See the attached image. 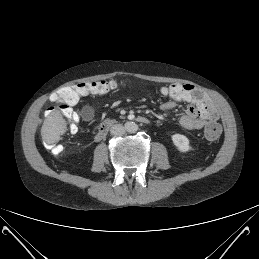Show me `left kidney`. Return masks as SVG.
I'll return each mask as SVG.
<instances>
[{
    "mask_svg": "<svg viewBox=\"0 0 259 259\" xmlns=\"http://www.w3.org/2000/svg\"><path fill=\"white\" fill-rule=\"evenodd\" d=\"M174 145L180 152H188L192 150V147L189 144V140L186 136L182 134H174L171 136Z\"/></svg>",
    "mask_w": 259,
    "mask_h": 259,
    "instance_id": "5707ae66",
    "label": "left kidney"
}]
</instances>
